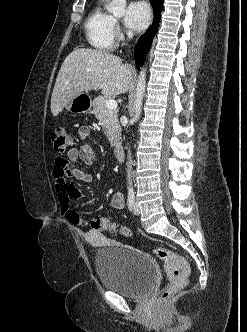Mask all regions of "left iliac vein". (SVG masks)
Returning a JSON list of instances; mask_svg holds the SVG:
<instances>
[{
    "instance_id": "obj_1",
    "label": "left iliac vein",
    "mask_w": 247,
    "mask_h": 332,
    "mask_svg": "<svg viewBox=\"0 0 247 332\" xmlns=\"http://www.w3.org/2000/svg\"><path fill=\"white\" fill-rule=\"evenodd\" d=\"M132 211L135 215H139L140 214V208L137 204V201L134 202L133 207H132Z\"/></svg>"
}]
</instances>
